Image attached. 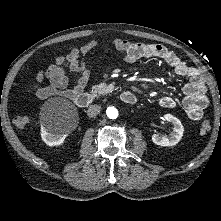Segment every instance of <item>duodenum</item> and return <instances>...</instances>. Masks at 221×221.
Returning <instances> with one entry per match:
<instances>
[{
    "instance_id": "obj_1",
    "label": "duodenum",
    "mask_w": 221,
    "mask_h": 221,
    "mask_svg": "<svg viewBox=\"0 0 221 221\" xmlns=\"http://www.w3.org/2000/svg\"><path fill=\"white\" fill-rule=\"evenodd\" d=\"M95 98V93L81 92L76 95L73 100L79 108H87L94 102ZM119 98L123 103L129 105H132L137 101L135 94L131 91H124L120 93Z\"/></svg>"
}]
</instances>
